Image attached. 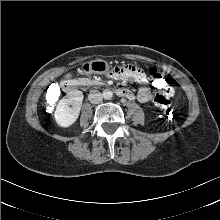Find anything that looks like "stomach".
<instances>
[{"label":"stomach","instance_id":"1","mask_svg":"<svg viewBox=\"0 0 220 220\" xmlns=\"http://www.w3.org/2000/svg\"><path fill=\"white\" fill-rule=\"evenodd\" d=\"M109 64L104 60H94L84 66V71L92 74H104Z\"/></svg>","mask_w":220,"mask_h":220}]
</instances>
